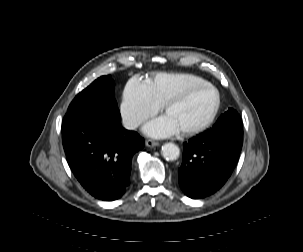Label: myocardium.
<instances>
[{
  "mask_svg": "<svg viewBox=\"0 0 303 252\" xmlns=\"http://www.w3.org/2000/svg\"><path fill=\"white\" fill-rule=\"evenodd\" d=\"M201 87H208L210 88L215 95V103L214 106L209 114V116L207 117V119L201 123L200 125H197L195 127H191V128H183V129H179V132L181 135L183 136H190L196 133H199L203 130H205L206 128H208L212 122L214 121L218 111H219V107H220V95L218 90L216 89V87L210 83V82H201L198 85H196L194 88H192L191 90H189L188 92H186L183 96L177 98V99H173V100H169L168 102H166L163 106V112L167 113V111L175 104H179L182 103L183 101H185L189 95L196 89L201 88Z\"/></svg>",
  "mask_w": 303,
  "mask_h": 252,
  "instance_id": "obj_1",
  "label": "myocardium"
}]
</instances>
